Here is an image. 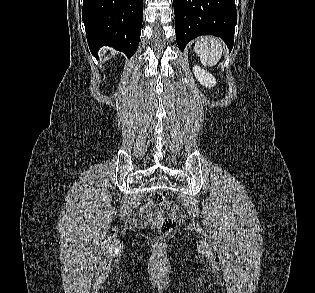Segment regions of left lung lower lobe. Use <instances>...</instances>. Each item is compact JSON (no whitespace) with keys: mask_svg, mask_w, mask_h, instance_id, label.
<instances>
[{"mask_svg":"<svg viewBox=\"0 0 315 293\" xmlns=\"http://www.w3.org/2000/svg\"><path fill=\"white\" fill-rule=\"evenodd\" d=\"M178 47L201 35H215L229 50L234 43L237 11L234 0H173Z\"/></svg>","mask_w":315,"mask_h":293,"instance_id":"1","label":"left lung lower lobe"}]
</instances>
